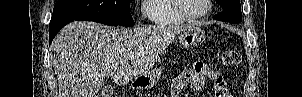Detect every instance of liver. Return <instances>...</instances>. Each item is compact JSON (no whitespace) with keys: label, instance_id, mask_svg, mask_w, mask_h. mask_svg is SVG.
I'll use <instances>...</instances> for the list:
<instances>
[{"label":"liver","instance_id":"6515ba94","mask_svg":"<svg viewBox=\"0 0 302 97\" xmlns=\"http://www.w3.org/2000/svg\"><path fill=\"white\" fill-rule=\"evenodd\" d=\"M186 27L112 28L74 21L54 38L50 51L59 82L58 97H100L104 77L118 85L144 75ZM134 55L132 65L129 57Z\"/></svg>","mask_w":302,"mask_h":97}]
</instances>
